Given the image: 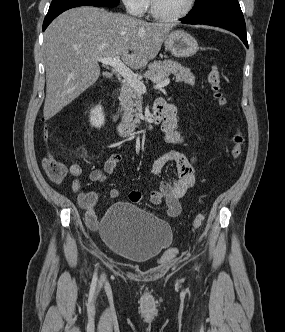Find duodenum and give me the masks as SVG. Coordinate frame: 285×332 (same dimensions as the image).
Here are the masks:
<instances>
[{
	"label": "duodenum",
	"mask_w": 285,
	"mask_h": 332,
	"mask_svg": "<svg viewBox=\"0 0 285 332\" xmlns=\"http://www.w3.org/2000/svg\"><path fill=\"white\" fill-rule=\"evenodd\" d=\"M168 111H169V105L166 103V101L163 99H158L154 104L153 119L150 122L149 127L151 128L153 125L162 124L164 122V120L166 119ZM110 117H111V121L115 125V128H116L118 134L123 137H127V136L134 134V132L137 129V127L133 124L120 121L118 119L117 115L114 114L113 112H111Z\"/></svg>",
	"instance_id": "1"
}]
</instances>
